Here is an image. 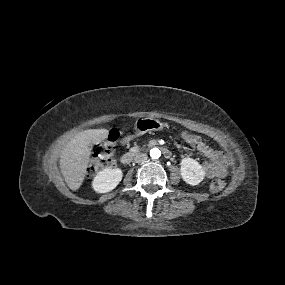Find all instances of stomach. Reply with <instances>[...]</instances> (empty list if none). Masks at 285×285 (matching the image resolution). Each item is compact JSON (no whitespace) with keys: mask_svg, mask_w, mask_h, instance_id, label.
I'll return each mask as SVG.
<instances>
[{"mask_svg":"<svg viewBox=\"0 0 285 285\" xmlns=\"http://www.w3.org/2000/svg\"><path fill=\"white\" fill-rule=\"evenodd\" d=\"M160 126H161V123L157 120L148 119V118L141 119L137 123V132L138 134H144L148 131L157 130Z\"/></svg>","mask_w":285,"mask_h":285,"instance_id":"1","label":"stomach"}]
</instances>
